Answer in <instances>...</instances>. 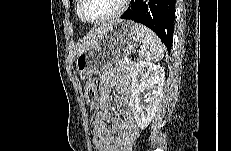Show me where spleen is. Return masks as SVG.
<instances>
[{"mask_svg":"<svg viewBox=\"0 0 231 151\" xmlns=\"http://www.w3.org/2000/svg\"><path fill=\"white\" fill-rule=\"evenodd\" d=\"M135 30L140 44L138 54L141 62L160 61L164 56V46L159 37L142 24H135Z\"/></svg>","mask_w":231,"mask_h":151,"instance_id":"1","label":"spleen"}]
</instances>
